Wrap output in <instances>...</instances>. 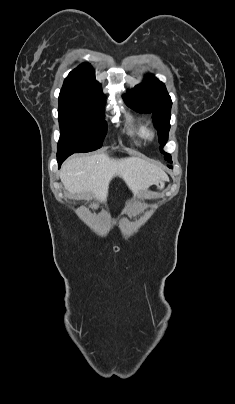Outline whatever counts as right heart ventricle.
I'll return each instance as SVG.
<instances>
[{
    "label": "right heart ventricle",
    "mask_w": 235,
    "mask_h": 404,
    "mask_svg": "<svg viewBox=\"0 0 235 404\" xmlns=\"http://www.w3.org/2000/svg\"><path fill=\"white\" fill-rule=\"evenodd\" d=\"M124 130L136 142H143L146 139L148 128L139 118L129 116L125 121Z\"/></svg>",
    "instance_id": "obj_1"
}]
</instances>
